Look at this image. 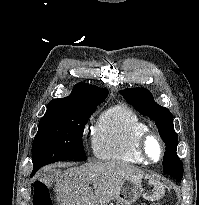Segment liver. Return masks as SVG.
I'll return each instance as SVG.
<instances>
[{
	"instance_id": "6515ba94",
	"label": "liver",
	"mask_w": 199,
	"mask_h": 205,
	"mask_svg": "<svg viewBox=\"0 0 199 205\" xmlns=\"http://www.w3.org/2000/svg\"><path fill=\"white\" fill-rule=\"evenodd\" d=\"M56 178V196L60 205H107L114 200L123 180L146 175L139 168L113 161L89 162L61 172L51 170ZM94 186V193L90 187Z\"/></svg>"
}]
</instances>
